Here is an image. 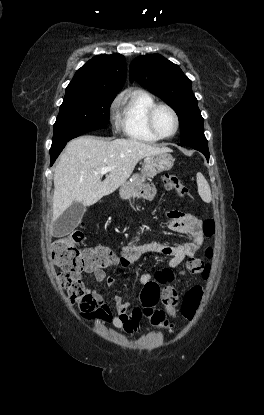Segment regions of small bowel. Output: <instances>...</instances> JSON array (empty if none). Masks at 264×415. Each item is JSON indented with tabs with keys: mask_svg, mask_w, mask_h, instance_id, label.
Here are the masks:
<instances>
[{
	"mask_svg": "<svg viewBox=\"0 0 264 415\" xmlns=\"http://www.w3.org/2000/svg\"><path fill=\"white\" fill-rule=\"evenodd\" d=\"M149 196L152 197L153 194ZM167 217L168 228L173 232L186 236L188 242L171 245H163L154 241L138 244L128 243L121 248L117 264L122 268L131 267L143 254L151 252L168 257L167 266L175 268L185 259L194 257L204 240L201 221L191 216L183 217L174 210L168 211ZM106 267L87 268L86 272H92L98 282L106 281L108 286H112L114 280L106 277ZM152 280H154V277L150 273L142 274L139 279L142 285ZM98 301L100 304L96 312L98 318L111 322L115 329L129 334L140 331V320L142 317V308L140 306L130 308L129 304L123 301L121 297L114 296V307L113 312H111L101 299Z\"/></svg>",
	"mask_w": 264,
	"mask_h": 415,
	"instance_id": "1",
	"label": "small bowel"
}]
</instances>
